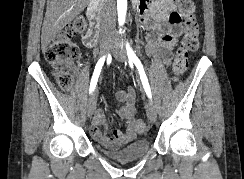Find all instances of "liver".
I'll return each instance as SVG.
<instances>
[{
  "label": "liver",
  "mask_w": 244,
  "mask_h": 179,
  "mask_svg": "<svg viewBox=\"0 0 244 179\" xmlns=\"http://www.w3.org/2000/svg\"><path fill=\"white\" fill-rule=\"evenodd\" d=\"M90 0H47L46 14L42 26L41 50L46 52L51 40L66 24L72 22Z\"/></svg>",
  "instance_id": "6515ba94"
}]
</instances>
